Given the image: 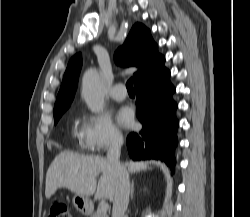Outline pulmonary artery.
<instances>
[{
  "label": "pulmonary artery",
  "instance_id": "obj_1",
  "mask_svg": "<svg viewBox=\"0 0 250 217\" xmlns=\"http://www.w3.org/2000/svg\"><path fill=\"white\" fill-rule=\"evenodd\" d=\"M110 96L116 101H123L127 97V92L123 84L118 83L110 90Z\"/></svg>",
  "mask_w": 250,
  "mask_h": 217
}]
</instances>
